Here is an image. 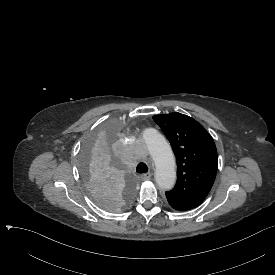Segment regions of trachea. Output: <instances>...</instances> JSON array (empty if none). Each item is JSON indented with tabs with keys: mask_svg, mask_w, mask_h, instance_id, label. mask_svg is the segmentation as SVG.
Wrapping results in <instances>:
<instances>
[{
	"mask_svg": "<svg viewBox=\"0 0 275 275\" xmlns=\"http://www.w3.org/2000/svg\"><path fill=\"white\" fill-rule=\"evenodd\" d=\"M136 172L137 173H146V172H148L147 165L143 162L139 163L136 167Z\"/></svg>",
	"mask_w": 275,
	"mask_h": 275,
	"instance_id": "trachea-1",
	"label": "trachea"
}]
</instances>
